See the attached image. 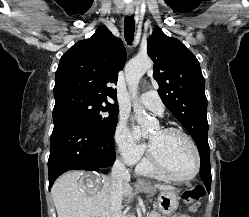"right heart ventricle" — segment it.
Returning <instances> with one entry per match:
<instances>
[{
    "mask_svg": "<svg viewBox=\"0 0 249 217\" xmlns=\"http://www.w3.org/2000/svg\"><path fill=\"white\" fill-rule=\"evenodd\" d=\"M137 170L139 173L151 176V177H157L158 175L152 170L150 165L147 162V159H143L137 167Z\"/></svg>",
    "mask_w": 249,
    "mask_h": 217,
    "instance_id": "obj_1",
    "label": "right heart ventricle"
}]
</instances>
